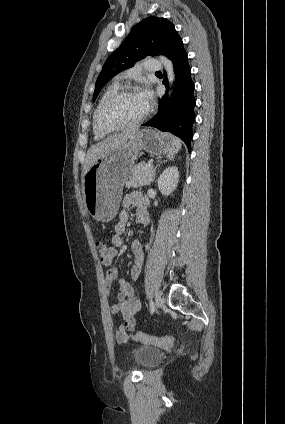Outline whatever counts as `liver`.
<instances>
[{"label": "liver", "instance_id": "liver-1", "mask_svg": "<svg viewBox=\"0 0 285 424\" xmlns=\"http://www.w3.org/2000/svg\"><path fill=\"white\" fill-rule=\"evenodd\" d=\"M138 131V128H132L120 134L107 137L105 140L92 146L87 152L84 161L82 176L84 177L90 167L95 164L99 158L103 157L107 152L113 151L125 145L127 142H129L135 137Z\"/></svg>", "mask_w": 285, "mask_h": 424}]
</instances>
